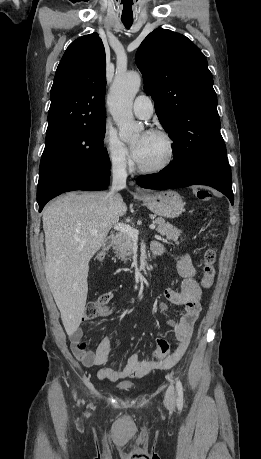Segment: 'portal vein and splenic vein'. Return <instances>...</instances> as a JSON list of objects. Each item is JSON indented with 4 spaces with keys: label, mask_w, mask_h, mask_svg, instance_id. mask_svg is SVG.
<instances>
[{
    "label": "portal vein and splenic vein",
    "mask_w": 261,
    "mask_h": 459,
    "mask_svg": "<svg viewBox=\"0 0 261 459\" xmlns=\"http://www.w3.org/2000/svg\"><path fill=\"white\" fill-rule=\"evenodd\" d=\"M156 228V225L155 224H151L150 225V229L154 230ZM114 229L117 230V231H120V232H124V233H127L132 239H137L138 238V234H139V230L131 227L130 225H127V224H124V223H116L114 225ZM91 234H96V230H91L90 231ZM80 243L83 245L85 244V240H80Z\"/></svg>",
    "instance_id": "obj_1"
}]
</instances>
